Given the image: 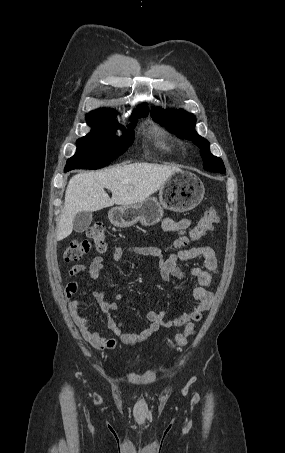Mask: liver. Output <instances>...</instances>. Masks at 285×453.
Here are the masks:
<instances>
[{
	"label": "liver",
	"instance_id": "6515ba94",
	"mask_svg": "<svg viewBox=\"0 0 285 453\" xmlns=\"http://www.w3.org/2000/svg\"><path fill=\"white\" fill-rule=\"evenodd\" d=\"M179 171L180 168L175 166L143 162L74 175L65 192L56 240H63L72 233L77 213L98 211L114 204L126 206L139 203L159 190L170 176ZM105 188L112 192V198Z\"/></svg>",
	"mask_w": 285,
	"mask_h": 453
}]
</instances>
